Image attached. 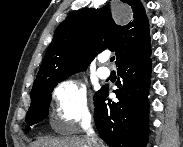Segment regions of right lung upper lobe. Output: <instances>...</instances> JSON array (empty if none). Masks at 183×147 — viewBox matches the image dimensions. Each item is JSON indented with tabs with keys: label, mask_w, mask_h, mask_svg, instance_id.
Returning <instances> with one entry per match:
<instances>
[{
	"label": "right lung upper lobe",
	"mask_w": 183,
	"mask_h": 147,
	"mask_svg": "<svg viewBox=\"0 0 183 147\" xmlns=\"http://www.w3.org/2000/svg\"><path fill=\"white\" fill-rule=\"evenodd\" d=\"M133 11L126 25L114 22L108 6L83 8L57 27L33 84L32 91L86 69L100 52L115 51L116 65L151 50L149 23L140 0H123Z\"/></svg>",
	"instance_id": "right-lung-upper-lobe-1"
}]
</instances>
